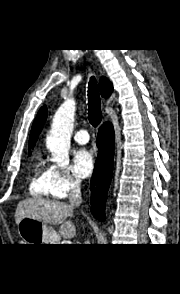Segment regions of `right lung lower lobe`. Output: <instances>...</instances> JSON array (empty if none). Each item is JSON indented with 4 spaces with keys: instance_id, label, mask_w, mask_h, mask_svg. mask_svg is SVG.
Wrapping results in <instances>:
<instances>
[{
    "instance_id": "98d812e1",
    "label": "right lung lower lobe",
    "mask_w": 180,
    "mask_h": 294,
    "mask_svg": "<svg viewBox=\"0 0 180 294\" xmlns=\"http://www.w3.org/2000/svg\"><path fill=\"white\" fill-rule=\"evenodd\" d=\"M98 158L91 179V212L99 221L105 220V201L111 182L114 155V131L111 123H104L97 136Z\"/></svg>"
}]
</instances>
